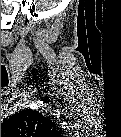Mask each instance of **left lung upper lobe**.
I'll return each instance as SVG.
<instances>
[{
  "mask_svg": "<svg viewBox=\"0 0 121 137\" xmlns=\"http://www.w3.org/2000/svg\"><path fill=\"white\" fill-rule=\"evenodd\" d=\"M56 130V124L42 113L22 110L1 124V135L8 137L49 135Z\"/></svg>",
  "mask_w": 121,
  "mask_h": 137,
  "instance_id": "left-lung-upper-lobe-1",
  "label": "left lung upper lobe"
}]
</instances>
